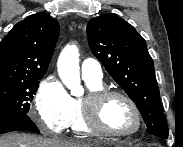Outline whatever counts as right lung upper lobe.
I'll use <instances>...</instances> for the list:
<instances>
[{"label": "right lung upper lobe", "mask_w": 183, "mask_h": 147, "mask_svg": "<svg viewBox=\"0 0 183 147\" xmlns=\"http://www.w3.org/2000/svg\"><path fill=\"white\" fill-rule=\"evenodd\" d=\"M58 37V21L46 14L17 23L0 43V82L43 77Z\"/></svg>", "instance_id": "1"}]
</instances>
